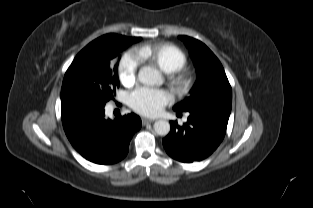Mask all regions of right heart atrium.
Returning a JSON list of instances; mask_svg holds the SVG:
<instances>
[{"label": "right heart atrium", "mask_w": 313, "mask_h": 208, "mask_svg": "<svg viewBox=\"0 0 313 208\" xmlns=\"http://www.w3.org/2000/svg\"><path fill=\"white\" fill-rule=\"evenodd\" d=\"M140 62L141 60L135 52L123 55L118 64V74L122 84L131 86L135 83Z\"/></svg>", "instance_id": "1"}]
</instances>
